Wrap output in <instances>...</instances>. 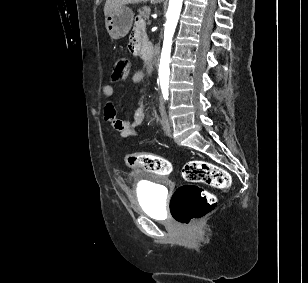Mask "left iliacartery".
Returning <instances> with one entry per match:
<instances>
[{
  "label": "left iliac artery",
  "mask_w": 308,
  "mask_h": 283,
  "mask_svg": "<svg viewBox=\"0 0 308 283\" xmlns=\"http://www.w3.org/2000/svg\"><path fill=\"white\" fill-rule=\"evenodd\" d=\"M163 97L165 100H168V92H163Z\"/></svg>",
  "instance_id": "left-iliac-artery-1"
}]
</instances>
